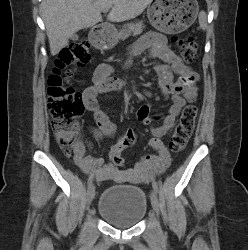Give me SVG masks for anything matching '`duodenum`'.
<instances>
[{
	"label": "duodenum",
	"instance_id": "1",
	"mask_svg": "<svg viewBox=\"0 0 248 250\" xmlns=\"http://www.w3.org/2000/svg\"><path fill=\"white\" fill-rule=\"evenodd\" d=\"M104 26H105L104 23L97 24V25L94 26V33L92 35L93 39H99V38H101V35L97 33V30H101Z\"/></svg>",
	"mask_w": 248,
	"mask_h": 250
}]
</instances>
